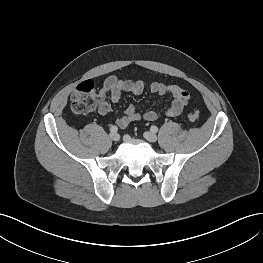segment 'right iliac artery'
Returning <instances> with one entry per match:
<instances>
[{
  "label": "right iliac artery",
  "mask_w": 263,
  "mask_h": 263,
  "mask_svg": "<svg viewBox=\"0 0 263 263\" xmlns=\"http://www.w3.org/2000/svg\"><path fill=\"white\" fill-rule=\"evenodd\" d=\"M110 131H111V132H117V131H118L117 126H111V127H110Z\"/></svg>",
  "instance_id": "82829eb1"
}]
</instances>
